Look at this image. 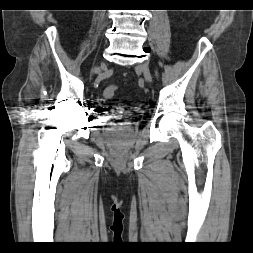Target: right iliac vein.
<instances>
[{
	"label": "right iliac vein",
	"instance_id": "63e3f726",
	"mask_svg": "<svg viewBox=\"0 0 253 253\" xmlns=\"http://www.w3.org/2000/svg\"><path fill=\"white\" fill-rule=\"evenodd\" d=\"M103 66H104V63H101L100 66H98V67H96V68L94 69V72H95V73L99 72L100 69H101Z\"/></svg>",
	"mask_w": 253,
	"mask_h": 253
}]
</instances>
